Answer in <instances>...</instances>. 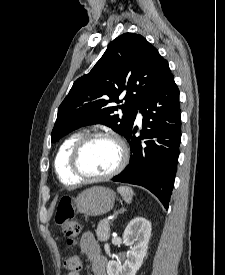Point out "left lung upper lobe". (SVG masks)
<instances>
[{
	"instance_id": "1",
	"label": "left lung upper lobe",
	"mask_w": 225,
	"mask_h": 275,
	"mask_svg": "<svg viewBox=\"0 0 225 275\" xmlns=\"http://www.w3.org/2000/svg\"><path fill=\"white\" fill-rule=\"evenodd\" d=\"M169 70L168 62L143 36L125 33L115 38L92 70L74 82L59 106L51 141L96 123L125 137L142 101ZM119 96L125 104L113 106V102H122ZM119 109L121 117L116 114Z\"/></svg>"
}]
</instances>
